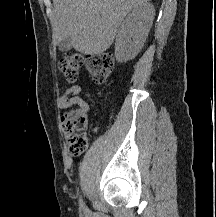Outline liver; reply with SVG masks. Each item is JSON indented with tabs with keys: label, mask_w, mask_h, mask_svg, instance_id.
Masks as SVG:
<instances>
[{
	"label": "liver",
	"mask_w": 216,
	"mask_h": 217,
	"mask_svg": "<svg viewBox=\"0 0 216 217\" xmlns=\"http://www.w3.org/2000/svg\"><path fill=\"white\" fill-rule=\"evenodd\" d=\"M150 0H53V40L70 37L83 54L100 55L112 45L118 27L133 9Z\"/></svg>",
	"instance_id": "liver-1"
}]
</instances>
